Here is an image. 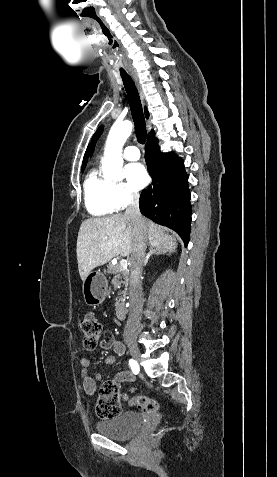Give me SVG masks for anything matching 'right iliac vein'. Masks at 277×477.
<instances>
[{
	"label": "right iliac vein",
	"instance_id": "right-iliac-vein-1",
	"mask_svg": "<svg viewBox=\"0 0 277 477\" xmlns=\"http://www.w3.org/2000/svg\"><path fill=\"white\" fill-rule=\"evenodd\" d=\"M128 348H129V352H130L131 356L136 361H140L141 354H140V351H139V348H138L137 344L133 341H130V342H128Z\"/></svg>",
	"mask_w": 277,
	"mask_h": 477
}]
</instances>
